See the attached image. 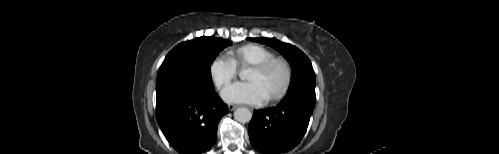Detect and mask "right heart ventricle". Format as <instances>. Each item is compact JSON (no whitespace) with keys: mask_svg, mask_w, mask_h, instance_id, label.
<instances>
[{"mask_svg":"<svg viewBox=\"0 0 499 154\" xmlns=\"http://www.w3.org/2000/svg\"><path fill=\"white\" fill-rule=\"evenodd\" d=\"M272 56H275L274 52L260 44H246L227 53L237 67L253 66Z\"/></svg>","mask_w":499,"mask_h":154,"instance_id":"obj_1","label":"right heart ventricle"}]
</instances>
